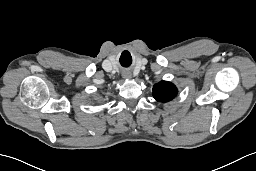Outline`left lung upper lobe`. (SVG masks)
Here are the masks:
<instances>
[{"label":"left lung upper lobe","mask_w":256,"mask_h":171,"mask_svg":"<svg viewBox=\"0 0 256 171\" xmlns=\"http://www.w3.org/2000/svg\"><path fill=\"white\" fill-rule=\"evenodd\" d=\"M178 93L174 84L168 81H161L153 86V97L159 102H168Z\"/></svg>","instance_id":"1"}]
</instances>
